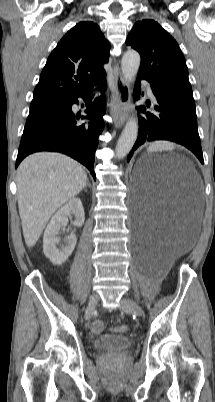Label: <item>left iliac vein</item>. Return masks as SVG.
<instances>
[{"mask_svg":"<svg viewBox=\"0 0 215 402\" xmlns=\"http://www.w3.org/2000/svg\"><path fill=\"white\" fill-rule=\"evenodd\" d=\"M120 306L123 311L127 313H134L137 316H142L144 314L143 309L132 299L130 298H122L120 302Z\"/></svg>","mask_w":215,"mask_h":402,"instance_id":"obj_1","label":"left iliac vein"}]
</instances>
